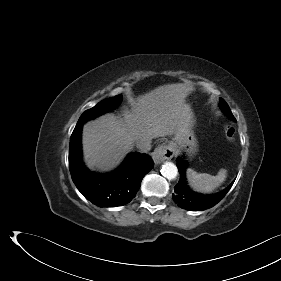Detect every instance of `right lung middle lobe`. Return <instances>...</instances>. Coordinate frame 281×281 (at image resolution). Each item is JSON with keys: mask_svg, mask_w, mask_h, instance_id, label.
I'll use <instances>...</instances> for the list:
<instances>
[{"mask_svg": "<svg viewBox=\"0 0 281 281\" xmlns=\"http://www.w3.org/2000/svg\"><path fill=\"white\" fill-rule=\"evenodd\" d=\"M121 99H122L121 95H117L115 97L102 100L93 108L86 110L80 116L77 125H82L86 121L93 119L107 111L112 110L114 107H116L121 102Z\"/></svg>", "mask_w": 281, "mask_h": 281, "instance_id": "obj_1", "label": "right lung middle lobe"}]
</instances>
